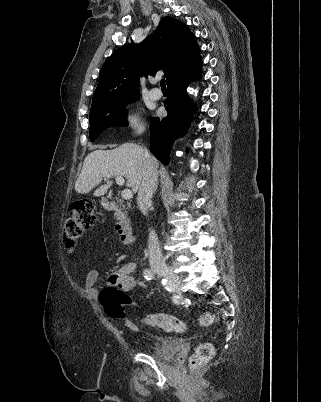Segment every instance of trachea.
<instances>
[{
    "mask_svg": "<svg viewBox=\"0 0 321 402\" xmlns=\"http://www.w3.org/2000/svg\"><path fill=\"white\" fill-rule=\"evenodd\" d=\"M160 85H161V88L166 89V84H165V80H164V79L161 80Z\"/></svg>",
    "mask_w": 321,
    "mask_h": 402,
    "instance_id": "3493384b",
    "label": "trachea"
}]
</instances>
